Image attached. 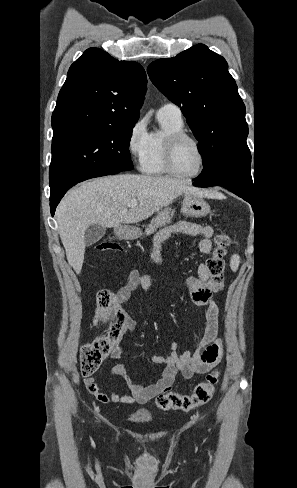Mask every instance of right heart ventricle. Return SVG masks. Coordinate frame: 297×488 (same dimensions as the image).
<instances>
[{
    "instance_id": "right-heart-ventricle-1",
    "label": "right heart ventricle",
    "mask_w": 297,
    "mask_h": 488,
    "mask_svg": "<svg viewBox=\"0 0 297 488\" xmlns=\"http://www.w3.org/2000/svg\"><path fill=\"white\" fill-rule=\"evenodd\" d=\"M159 121L162 125V132L149 134L147 154L141 165L142 171L147 174L164 175L168 173L163 164L165 139L169 135L181 132L184 129L183 122L167 118H159Z\"/></svg>"
}]
</instances>
